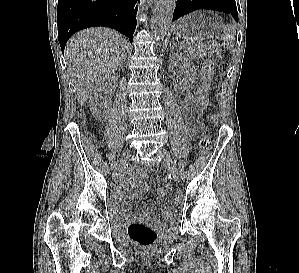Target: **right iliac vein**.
<instances>
[{
    "instance_id": "obj_1",
    "label": "right iliac vein",
    "mask_w": 299,
    "mask_h": 273,
    "mask_svg": "<svg viewBox=\"0 0 299 273\" xmlns=\"http://www.w3.org/2000/svg\"><path fill=\"white\" fill-rule=\"evenodd\" d=\"M130 154H131V151L130 149H127L123 154L122 156L119 158L117 164H116V167H115V170H114V173H113V177L114 179L116 180L120 174L122 173L123 171V168L128 160V158L130 157Z\"/></svg>"
}]
</instances>
